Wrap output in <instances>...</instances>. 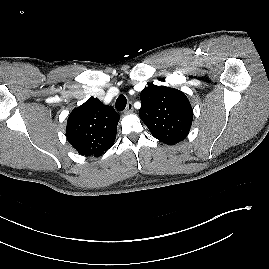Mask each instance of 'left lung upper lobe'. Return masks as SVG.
Masks as SVG:
<instances>
[{"label": "left lung upper lobe", "instance_id": "obj_1", "mask_svg": "<svg viewBox=\"0 0 269 269\" xmlns=\"http://www.w3.org/2000/svg\"><path fill=\"white\" fill-rule=\"evenodd\" d=\"M140 119L152 135L168 145L186 138L193 111L186 95L174 88L149 84L140 94Z\"/></svg>", "mask_w": 269, "mask_h": 269}]
</instances>
